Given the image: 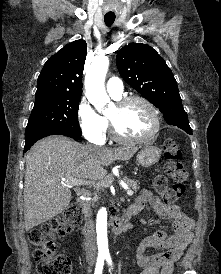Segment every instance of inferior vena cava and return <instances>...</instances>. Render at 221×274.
Returning a JSON list of instances; mask_svg holds the SVG:
<instances>
[{"label":"inferior vena cava","instance_id":"obj_1","mask_svg":"<svg viewBox=\"0 0 221 274\" xmlns=\"http://www.w3.org/2000/svg\"><path fill=\"white\" fill-rule=\"evenodd\" d=\"M85 233V252L86 257L90 260L95 259L96 256V239H95V230L92 221H88L84 227Z\"/></svg>","mask_w":221,"mask_h":274}]
</instances>
